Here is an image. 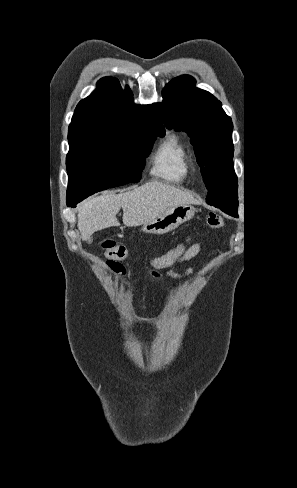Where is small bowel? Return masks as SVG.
Wrapping results in <instances>:
<instances>
[{
  "label": "small bowel",
  "instance_id": "1",
  "mask_svg": "<svg viewBox=\"0 0 297 488\" xmlns=\"http://www.w3.org/2000/svg\"><path fill=\"white\" fill-rule=\"evenodd\" d=\"M201 248H202V245L200 242L192 243L191 246L187 249V251L177 261V263L182 264V263L189 262V261L193 260L195 257H197L199 255V253L201 252ZM194 270H195L194 266H189L186 268L185 271H183L181 273H178V272H175L172 270H168V271H166L165 274L167 277H169L172 280L183 281V280L187 279L189 276H191L193 274ZM156 276H158V275L156 274Z\"/></svg>",
  "mask_w": 297,
  "mask_h": 488
}]
</instances>
